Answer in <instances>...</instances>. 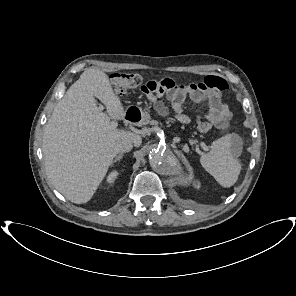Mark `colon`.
Returning a JSON list of instances; mask_svg holds the SVG:
<instances>
[{
	"mask_svg": "<svg viewBox=\"0 0 296 296\" xmlns=\"http://www.w3.org/2000/svg\"><path fill=\"white\" fill-rule=\"evenodd\" d=\"M112 84L115 91L125 94L141 85V77L136 73H116L112 76ZM224 108L214 100H204L199 104L198 130L206 134L211 131L213 123L224 121Z\"/></svg>",
	"mask_w": 296,
	"mask_h": 296,
	"instance_id": "obj_1",
	"label": "colon"
}]
</instances>
